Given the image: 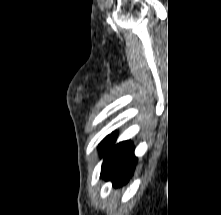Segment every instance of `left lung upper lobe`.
I'll use <instances>...</instances> for the list:
<instances>
[{
    "label": "left lung upper lobe",
    "instance_id": "5c2ea615",
    "mask_svg": "<svg viewBox=\"0 0 221 215\" xmlns=\"http://www.w3.org/2000/svg\"><path fill=\"white\" fill-rule=\"evenodd\" d=\"M104 142V141H103ZM103 142H101V144H100V148L102 147V145H103Z\"/></svg>",
    "mask_w": 221,
    "mask_h": 215
}]
</instances>
